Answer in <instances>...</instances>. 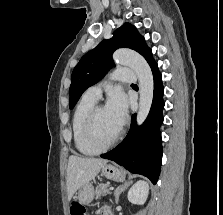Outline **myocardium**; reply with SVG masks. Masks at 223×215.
Returning a JSON list of instances; mask_svg holds the SVG:
<instances>
[{
  "mask_svg": "<svg viewBox=\"0 0 223 215\" xmlns=\"http://www.w3.org/2000/svg\"><path fill=\"white\" fill-rule=\"evenodd\" d=\"M105 107L97 104L93 107V109L90 111L87 121H86V126H85V136L88 144L97 152H104L106 150H109L117 145V143L121 139L122 135V129L119 128L116 136L113 138L111 142H109L106 145H102L98 142L96 138V133H95V127H96V118L101 109H104Z\"/></svg>",
  "mask_w": 223,
  "mask_h": 215,
  "instance_id": "f54148a6",
  "label": "myocardium"
}]
</instances>
